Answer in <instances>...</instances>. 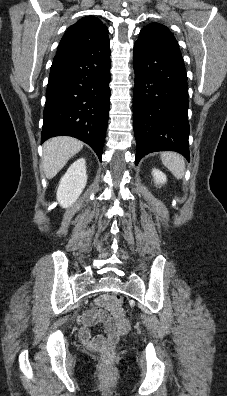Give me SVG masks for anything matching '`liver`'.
I'll return each mask as SVG.
<instances>
[{
    "label": "liver",
    "mask_w": 227,
    "mask_h": 396,
    "mask_svg": "<svg viewBox=\"0 0 227 396\" xmlns=\"http://www.w3.org/2000/svg\"><path fill=\"white\" fill-rule=\"evenodd\" d=\"M83 148V142L68 136L47 140L43 145L42 168L45 176L52 179L68 160Z\"/></svg>",
    "instance_id": "liver-1"
}]
</instances>
